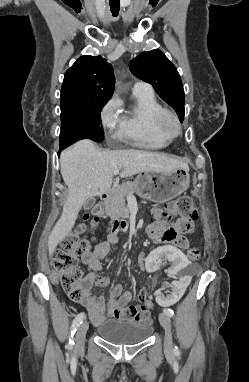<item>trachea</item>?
<instances>
[{
  "mask_svg": "<svg viewBox=\"0 0 249 382\" xmlns=\"http://www.w3.org/2000/svg\"><path fill=\"white\" fill-rule=\"evenodd\" d=\"M110 10L112 12V15L114 17H117L118 14H119V10H120V3H119V1L118 2L110 1Z\"/></svg>",
  "mask_w": 249,
  "mask_h": 382,
  "instance_id": "1",
  "label": "trachea"
}]
</instances>
